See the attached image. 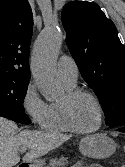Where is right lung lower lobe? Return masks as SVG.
I'll list each match as a JSON object with an SVG mask.
<instances>
[{
	"label": "right lung lower lobe",
	"mask_w": 125,
	"mask_h": 167,
	"mask_svg": "<svg viewBox=\"0 0 125 167\" xmlns=\"http://www.w3.org/2000/svg\"><path fill=\"white\" fill-rule=\"evenodd\" d=\"M0 116L19 123H31L30 119L25 114V112L17 111L13 108H8L5 105H0Z\"/></svg>",
	"instance_id": "right-lung-lower-lobe-1"
}]
</instances>
